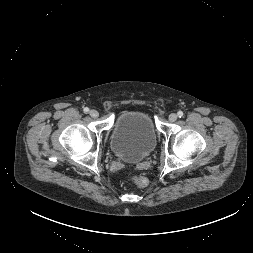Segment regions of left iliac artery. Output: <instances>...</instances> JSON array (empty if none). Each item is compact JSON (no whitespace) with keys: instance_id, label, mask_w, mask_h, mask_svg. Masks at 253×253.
<instances>
[{"instance_id":"44dca946","label":"left iliac artery","mask_w":253,"mask_h":253,"mask_svg":"<svg viewBox=\"0 0 253 253\" xmlns=\"http://www.w3.org/2000/svg\"><path fill=\"white\" fill-rule=\"evenodd\" d=\"M177 114H178L179 117H182V116H183V112H182V111H178Z\"/></svg>"}]
</instances>
